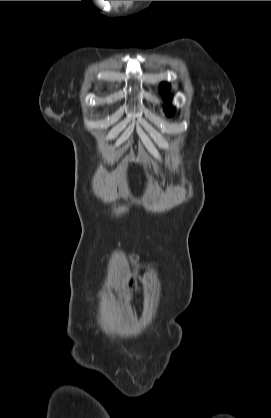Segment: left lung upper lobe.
I'll return each instance as SVG.
<instances>
[{"instance_id": "5c2ea615", "label": "left lung upper lobe", "mask_w": 271, "mask_h": 418, "mask_svg": "<svg viewBox=\"0 0 271 418\" xmlns=\"http://www.w3.org/2000/svg\"><path fill=\"white\" fill-rule=\"evenodd\" d=\"M170 89H171V87L167 83H163L160 87V92L166 99L169 98ZM165 110H166L167 115H172L174 113V108L170 105H166Z\"/></svg>"}]
</instances>
